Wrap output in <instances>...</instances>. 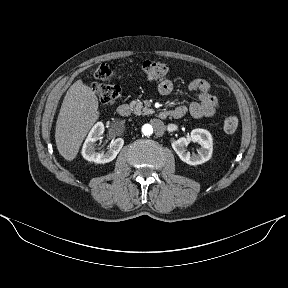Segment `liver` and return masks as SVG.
I'll return each instance as SVG.
<instances>
[{
  "mask_svg": "<svg viewBox=\"0 0 288 288\" xmlns=\"http://www.w3.org/2000/svg\"><path fill=\"white\" fill-rule=\"evenodd\" d=\"M99 118L95 92L81 80L68 89L55 129L57 149L66 160H73L93 124Z\"/></svg>",
  "mask_w": 288,
  "mask_h": 288,
  "instance_id": "6515ba94",
  "label": "liver"
}]
</instances>
